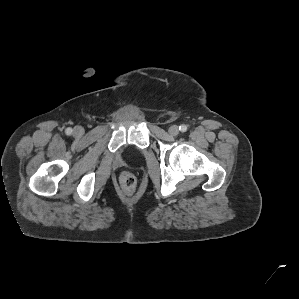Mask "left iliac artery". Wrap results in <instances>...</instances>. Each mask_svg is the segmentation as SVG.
Wrapping results in <instances>:
<instances>
[{"label":"left iliac artery","instance_id":"left-iliac-artery-1","mask_svg":"<svg viewBox=\"0 0 299 299\" xmlns=\"http://www.w3.org/2000/svg\"><path fill=\"white\" fill-rule=\"evenodd\" d=\"M179 130H180L181 132H186V131H187V126L184 125V124H182V125L179 127Z\"/></svg>","mask_w":299,"mask_h":299}]
</instances>
